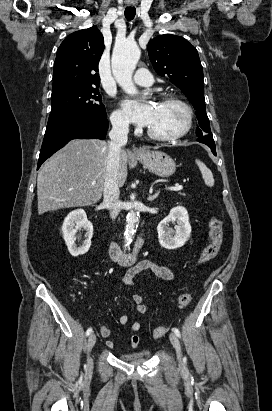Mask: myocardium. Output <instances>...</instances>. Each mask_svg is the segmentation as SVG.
<instances>
[{"label": "myocardium", "mask_w": 272, "mask_h": 411, "mask_svg": "<svg viewBox=\"0 0 272 411\" xmlns=\"http://www.w3.org/2000/svg\"><path fill=\"white\" fill-rule=\"evenodd\" d=\"M160 102L161 103H175V104L180 105L185 110L186 115H187L186 124L180 132L174 135H158L148 127L147 135L154 140L162 141V142H173V141L179 140L183 138L184 136H186L191 130L193 126V121H194V113H193L191 106L185 100L177 96H173V95L163 96Z\"/></svg>", "instance_id": "1"}]
</instances>
